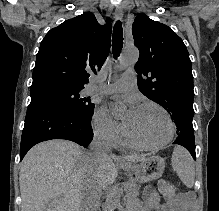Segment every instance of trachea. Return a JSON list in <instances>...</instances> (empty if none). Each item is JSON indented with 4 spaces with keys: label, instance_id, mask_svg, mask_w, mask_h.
Returning a JSON list of instances; mask_svg holds the SVG:
<instances>
[{
    "label": "trachea",
    "instance_id": "1",
    "mask_svg": "<svg viewBox=\"0 0 219 211\" xmlns=\"http://www.w3.org/2000/svg\"><path fill=\"white\" fill-rule=\"evenodd\" d=\"M122 47H123V28L121 21L118 20L114 25L113 35H112V50L115 59L119 57Z\"/></svg>",
    "mask_w": 219,
    "mask_h": 211
}]
</instances>
